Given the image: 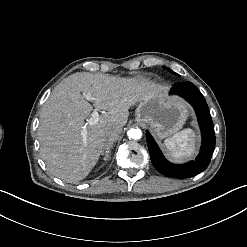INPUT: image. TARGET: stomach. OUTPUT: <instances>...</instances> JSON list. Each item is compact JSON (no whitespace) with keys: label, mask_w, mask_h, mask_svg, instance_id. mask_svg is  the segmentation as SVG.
I'll list each match as a JSON object with an SVG mask.
<instances>
[{"label":"stomach","mask_w":247,"mask_h":247,"mask_svg":"<svg viewBox=\"0 0 247 247\" xmlns=\"http://www.w3.org/2000/svg\"><path fill=\"white\" fill-rule=\"evenodd\" d=\"M136 115L158 138H171L189 120L192 108L182 97L169 94L168 87L161 86L140 101Z\"/></svg>","instance_id":"0dacf381"}]
</instances>
